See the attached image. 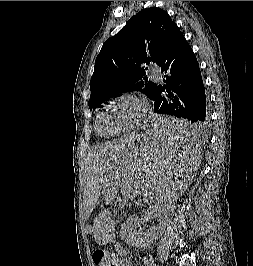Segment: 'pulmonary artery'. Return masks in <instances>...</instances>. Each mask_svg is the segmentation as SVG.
Listing matches in <instances>:
<instances>
[{
	"label": "pulmonary artery",
	"mask_w": 253,
	"mask_h": 266,
	"mask_svg": "<svg viewBox=\"0 0 253 266\" xmlns=\"http://www.w3.org/2000/svg\"><path fill=\"white\" fill-rule=\"evenodd\" d=\"M150 77L158 81L161 78V69L157 66H151L149 69Z\"/></svg>",
	"instance_id": "e3ab8cb5"
}]
</instances>
